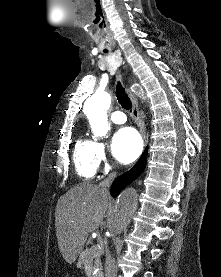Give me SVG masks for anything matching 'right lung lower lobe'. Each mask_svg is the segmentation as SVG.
<instances>
[{
  "mask_svg": "<svg viewBox=\"0 0 221 277\" xmlns=\"http://www.w3.org/2000/svg\"><path fill=\"white\" fill-rule=\"evenodd\" d=\"M146 158L147 149L130 171L124 173L122 176H119L114 180L111 186V195L113 197H117L128 184L141 175L146 165Z\"/></svg>",
  "mask_w": 221,
  "mask_h": 277,
  "instance_id": "1",
  "label": "right lung lower lobe"
}]
</instances>
